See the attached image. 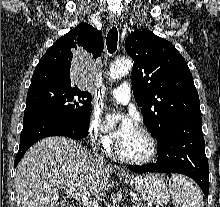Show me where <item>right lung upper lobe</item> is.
Returning a JSON list of instances; mask_svg holds the SVG:
<instances>
[{
  "label": "right lung upper lobe",
  "instance_id": "1",
  "mask_svg": "<svg viewBox=\"0 0 220 207\" xmlns=\"http://www.w3.org/2000/svg\"><path fill=\"white\" fill-rule=\"evenodd\" d=\"M80 46L96 59L103 51L101 31L87 23H81L58 39L40 59L30 86L43 83L71 86L73 50Z\"/></svg>",
  "mask_w": 220,
  "mask_h": 207
}]
</instances>
